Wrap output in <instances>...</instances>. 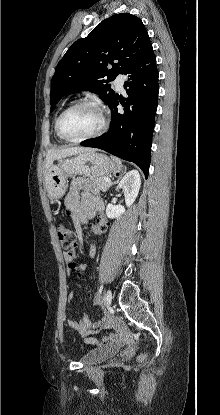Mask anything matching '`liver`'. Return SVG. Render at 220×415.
<instances>
[{
	"label": "liver",
	"instance_id": "obj_1",
	"mask_svg": "<svg viewBox=\"0 0 220 415\" xmlns=\"http://www.w3.org/2000/svg\"><path fill=\"white\" fill-rule=\"evenodd\" d=\"M92 149L86 147H69L62 149H51L47 152L45 162V173L50 169L54 160L73 156L79 153L90 151Z\"/></svg>",
	"mask_w": 220,
	"mask_h": 415
}]
</instances>
